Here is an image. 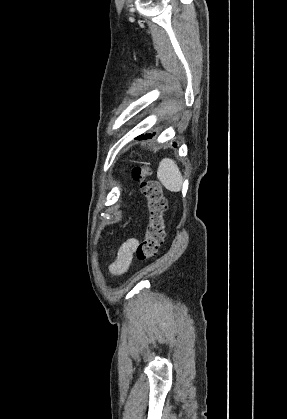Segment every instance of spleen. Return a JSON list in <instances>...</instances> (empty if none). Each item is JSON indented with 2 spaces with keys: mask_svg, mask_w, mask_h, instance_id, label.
Returning <instances> with one entry per match:
<instances>
[{
  "mask_svg": "<svg viewBox=\"0 0 287 419\" xmlns=\"http://www.w3.org/2000/svg\"><path fill=\"white\" fill-rule=\"evenodd\" d=\"M157 178L171 192H179L182 188V174L174 160L164 158L159 163Z\"/></svg>",
  "mask_w": 287,
  "mask_h": 419,
  "instance_id": "spleen-1",
  "label": "spleen"
}]
</instances>
